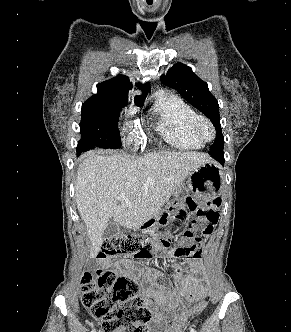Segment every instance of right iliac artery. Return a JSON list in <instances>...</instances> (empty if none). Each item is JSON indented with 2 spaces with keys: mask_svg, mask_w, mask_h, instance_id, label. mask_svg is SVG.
<instances>
[{
  "mask_svg": "<svg viewBox=\"0 0 291 332\" xmlns=\"http://www.w3.org/2000/svg\"><path fill=\"white\" fill-rule=\"evenodd\" d=\"M91 332H96V330H95V329H93Z\"/></svg>",
  "mask_w": 291,
  "mask_h": 332,
  "instance_id": "right-iliac-artery-1",
  "label": "right iliac artery"
}]
</instances>
